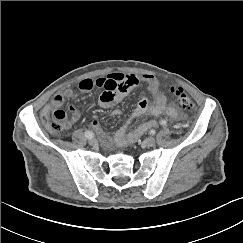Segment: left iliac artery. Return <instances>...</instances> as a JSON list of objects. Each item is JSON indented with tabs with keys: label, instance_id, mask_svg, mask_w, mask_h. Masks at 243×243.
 Wrapping results in <instances>:
<instances>
[{
	"label": "left iliac artery",
	"instance_id": "obj_1",
	"mask_svg": "<svg viewBox=\"0 0 243 243\" xmlns=\"http://www.w3.org/2000/svg\"><path fill=\"white\" fill-rule=\"evenodd\" d=\"M160 125H161V126H166V125H167V121L164 120V119H162V120L160 121Z\"/></svg>",
	"mask_w": 243,
	"mask_h": 243
}]
</instances>
